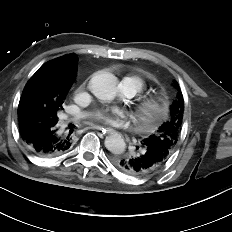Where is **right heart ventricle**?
I'll list each match as a JSON object with an SVG mask.
<instances>
[{
	"instance_id": "e07e8e85",
	"label": "right heart ventricle",
	"mask_w": 232,
	"mask_h": 232,
	"mask_svg": "<svg viewBox=\"0 0 232 232\" xmlns=\"http://www.w3.org/2000/svg\"><path fill=\"white\" fill-rule=\"evenodd\" d=\"M124 79L132 82L138 89V92L144 89L145 82L142 78L138 76H126Z\"/></svg>"
}]
</instances>
